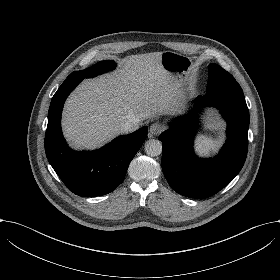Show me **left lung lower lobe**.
I'll return each mask as SVG.
<instances>
[{
  "instance_id": "obj_1",
  "label": "left lung lower lobe",
  "mask_w": 280,
  "mask_h": 280,
  "mask_svg": "<svg viewBox=\"0 0 280 280\" xmlns=\"http://www.w3.org/2000/svg\"><path fill=\"white\" fill-rule=\"evenodd\" d=\"M214 106L227 121V141L220 154L200 159L193 151V139L200 108ZM249 110L238 83L207 91L196 98L186 117L174 120L163 132L162 170L173 190L191 198H207L224 188L240 172L248 149Z\"/></svg>"
}]
</instances>
